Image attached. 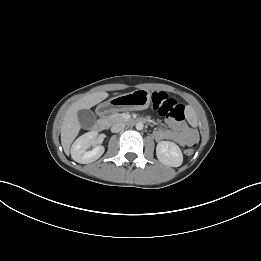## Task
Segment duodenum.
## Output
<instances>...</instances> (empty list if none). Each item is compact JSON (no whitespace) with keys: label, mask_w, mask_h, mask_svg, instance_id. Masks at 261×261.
<instances>
[{"label":"duodenum","mask_w":261,"mask_h":261,"mask_svg":"<svg viewBox=\"0 0 261 261\" xmlns=\"http://www.w3.org/2000/svg\"><path fill=\"white\" fill-rule=\"evenodd\" d=\"M110 108H111V107H110L109 105H106V106H103V107L100 109V111H101L102 113H104V112L109 111ZM106 126H107L106 121L103 120V119H100V120H98V121L96 122V124H95V130H97V131L104 130V129L106 128Z\"/></svg>","instance_id":"duodenum-1"}]
</instances>
